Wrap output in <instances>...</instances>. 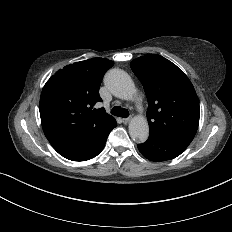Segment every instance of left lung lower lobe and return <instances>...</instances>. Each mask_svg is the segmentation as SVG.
Segmentation results:
<instances>
[{
  "label": "left lung lower lobe",
  "instance_id": "obj_1",
  "mask_svg": "<svg viewBox=\"0 0 232 232\" xmlns=\"http://www.w3.org/2000/svg\"><path fill=\"white\" fill-rule=\"evenodd\" d=\"M138 149L147 159L159 162L176 158L186 148L159 136L150 134L145 143L138 144Z\"/></svg>",
  "mask_w": 232,
  "mask_h": 232
}]
</instances>
